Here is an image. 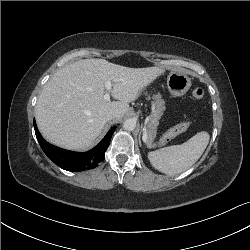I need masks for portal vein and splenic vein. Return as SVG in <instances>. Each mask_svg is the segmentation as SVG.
<instances>
[{
    "label": "portal vein and splenic vein",
    "mask_w": 250,
    "mask_h": 250,
    "mask_svg": "<svg viewBox=\"0 0 250 250\" xmlns=\"http://www.w3.org/2000/svg\"><path fill=\"white\" fill-rule=\"evenodd\" d=\"M105 88H106L107 92L104 95V99L107 100V101H109L110 100V91H111V88H112L111 81H106L105 82ZM145 134L147 135L146 132H145Z\"/></svg>",
    "instance_id": "18ae733b"
}]
</instances>
